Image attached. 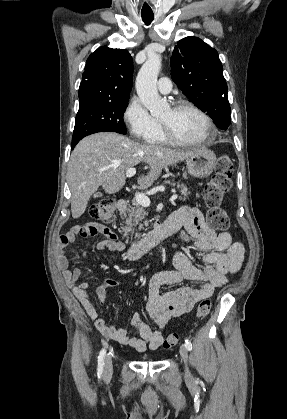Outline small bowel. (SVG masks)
I'll return each mask as SVG.
<instances>
[{"instance_id": "obj_1", "label": "small bowel", "mask_w": 287, "mask_h": 419, "mask_svg": "<svg viewBox=\"0 0 287 419\" xmlns=\"http://www.w3.org/2000/svg\"><path fill=\"white\" fill-rule=\"evenodd\" d=\"M166 223L173 225L176 230L183 228L182 242L187 243L193 239L195 247L205 252L202 257L204 266L192 265L185 249L183 247L178 249L174 256L175 270L157 274L149 284L146 310L158 329L153 330L135 313L132 324L139 333L138 338L130 336L126 329L107 324L98 316L87 293L89 284L76 283L81 271L68 268V259L64 253L65 247L73 243L76 236L89 237L98 234L105 237L97 244L98 250H108L112 255L123 252L125 245L118 240L117 235L111 229L97 223L76 225L60 236L56 249V263L66 284L97 330L104 336L140 352L147 348L152 350L159 348L163 341V331L168 323L192 310L200 300L211 297L217 288L226 284L227 274L236 273L240 269L244 259L242 244L233 241L230 233L226 231L216 233L209 228L198 209L182 207L175 211ZM83 255L87 256L86 253ZM183 280L199 282L200 286L197 288L182 286L166 293L161 292L162 286L178 284ZM120 283L117 279H106L96 291L99 302H103L107 288Z\"/></svg>"}]
</instances>
